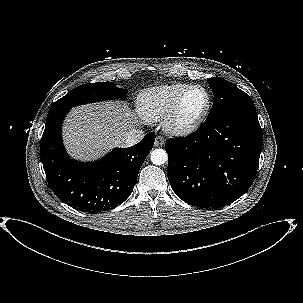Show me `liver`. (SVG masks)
Segmentation results:
<instances>
[{
  "mask_svg": "<svg viewBox=\"0 0 303 303\" xmlns=\"http://www.w3.org/2000/svg\"><path fill=\"white\" fill-rule=\"evenodd\" d=\"M137 123L129 107L119 102L82 105L73 108L65 120L64 143L72 157L96 159L122 146V137Z\"/></svg>",
  "mask_w": 303,
  "mask_h": 303,
  "instance_id": "liver-1",
  "label": "liver"
}]
</instances>
